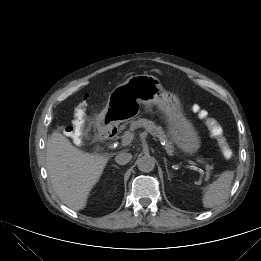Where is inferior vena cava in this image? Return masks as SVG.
<instances>
[{"label":"inferior vena cava","mask_w":261,"mask_h":261,"mask_svg":"<svg viewBox=\"0 0 261 261\" xmlns=\"http://www.w3.org/2000/svg\"><path fill=\"white\" fill-rule=\"evenodd\" d=\"M132 159V155L128 152H120L116 155L115 161L119 165H125Z\"/></svg>","instance_id":"obj_1"}]
</instances>
